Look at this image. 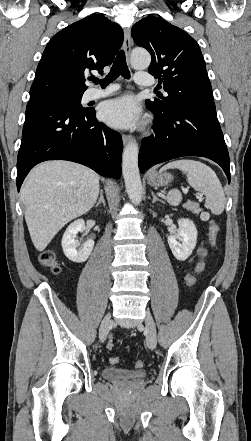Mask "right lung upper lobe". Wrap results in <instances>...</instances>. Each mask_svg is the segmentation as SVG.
I'll list each match as a JSON object with an SVG mask.
<instances>
[{
  "label": "right lung upper lobe",
  "instance_id": "right-lung-upper-lobe-1",
  "mask_svg": "<svg viewBox=\"0 0 251 441\" xmlns=\"http://www.w3.org/2000/svg\"><path fill=\"white\" fill-rule=\"evenodd\" d=\"M122 28L105 16L91 15L75 22L48 42L30 89V100L83 94L85 73L111 64L123 43Z\"/></svg>",
  "mask_w": 251,
  "mask_h": 441
}]
</instances>
